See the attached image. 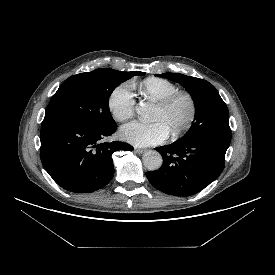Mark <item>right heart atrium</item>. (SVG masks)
<instances>
[{
  "label": "right heart atrium",
  "instance_id": "obj_1",
  "mask_svg": "<svg viewBox=\"0 0 275 275\" xmlns=\"http://www.w3.org/2000/svg\"><path fill=\"white\" fill-rule=\"evenodd\" d=\"M108 107L118 122L127 121L134 115L136 96L131 81L123 82L112 90L108 98Z\"/></svg>",
  "mask_w": 275,
  "mask_h": 275
}]
</instances>
